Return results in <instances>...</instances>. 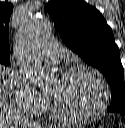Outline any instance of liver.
Here are the masks:
<instances>
[{
	"label": "liver",
	"instance_id": "6515ba94",
	"mask_svg": "<svg viewBox=\"0 0 125 128\" xmlns=\"http://www.w3.org/2000/svg\"><path fill=\"white\" fill-rule=\"evenodd\" d=\"M26 121L13 110L11 84L4 77L0 67V128L27 126Z\"/></svg>",
	"mask_w": 125,
	"mask_h": 128
}]
</instances>
